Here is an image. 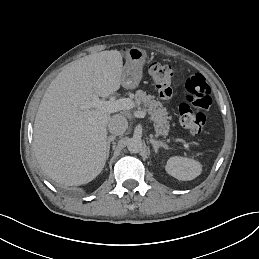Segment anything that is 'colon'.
<instances>
[{"label": "colon", "mask_w": 259, "mask_h": 259, "mask_svg": "<svg viewBox=\"0 0 259 259\" xmlns=\"http://www.w3.org/2000/svg\"><path fill=\"white\" fill-rule=\"evenodd\" d=\"M152 81L163 98H170L173 94V70L163 63H153L149 67ZM186 103L179 106V121L183 128L193 135L201 134L205 129L207 111L212 99L210 86L202 73L195 72L185 81Z\"/></svg>", "instance_id": "obj_1"}]
</instances>
